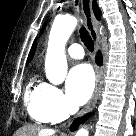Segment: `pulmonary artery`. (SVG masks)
Masks as SVG:
<instances>
[{"mask_svg": "<svg viewBox=\"0 0 136 136\" xmlns=\"http://www.w3.org/2000/svg\"><path fill=\"white\" fill-rule=\"evenodd\" d=\"M67 53L76 59H81L84 56L83 48L79 44H72L68 47Z\"/></svg>", "mask_w": 136, "mask_h": 136, "instance_id": "e3ab8cb5", "label": "pulmonary artery"}]
</instances>
